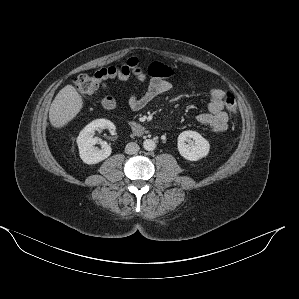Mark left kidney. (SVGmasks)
Segmentation results:
<instances>
[{"label": "left kidney", "instance_id": "obj_1", "mask_svg": "<svg viewBox=\"0 0 299 299\" xmlns=\"http://www.w3.org/2000/svg\"><path fill=\"white\" fill-rule=\"evenodd\" d=\"M209 150V142L196 131H183L178 136V151L189 161H198L206 157Z\"/></svg>", "mask_w": 299, "mask_h": 299}]
</instances>
